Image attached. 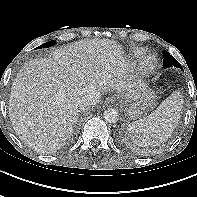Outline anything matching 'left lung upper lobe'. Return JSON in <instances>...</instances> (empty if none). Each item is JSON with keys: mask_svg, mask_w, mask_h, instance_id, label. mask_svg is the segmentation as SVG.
<instances>
[{"mask_svg": "<svg viewBox=\"0 0 197 197\" xmlns=\"http://www.w3.org/2000/svg\"><path fill=\"white\" fill-rule=\"evenodd\" d=\"M163 55H164V59H163V67L164 68H169V67L175 66V67H179L182 69V66L167 51L164 50Z\"/></svg>", "mask_w": 197, "mask_h": 197, "instance_id": "left-lung-upper-lobe-1", "label": "left lung upper lobe"}]
</instances>
